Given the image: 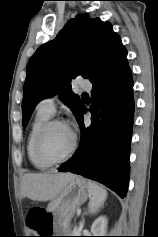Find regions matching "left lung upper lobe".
<instances>
[{
  "instance_id": "left-lung-upper-lobe-1",
  "label": "left lung upper lobe",
  "mask_w": 158,
  "mask_h": 237,
  "mask_svg": "<svg viewBox=\"0 0 158 237\" xmlns=\"http://www.w3.org/2000/svg\"><path fill=\"white\" fill-rule=\"evenodd\" d=\"M127 56L120 36L109 22L79 14L55 39L41 45L27 64L22 102L25 127L36 104L57 92L76 118L84 105L71 90V79L81 75L96 83L111 73Z\"/></svg>"
}]
</instances>
